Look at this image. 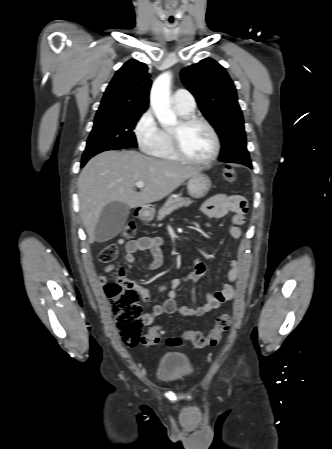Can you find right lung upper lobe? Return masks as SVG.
I'll return each mask as SVG.
<instances>
[{"mask_svg":"<svg viewBox=\"0 0 332 449\" xmlns=\"http://www.w3.org/2000/svg\"><path fill=\"white\" fill-rule=\"evenodd\" d=\"M147 71L148 67L135 59L126 62L107 87L96 115L145 112L151 87Z\"/></svg>","mask_w":332,"mask_h":449,"instance_id":"right-lung-upper-lobe-1","label":"right lung upper lobe"}]
</instances>
